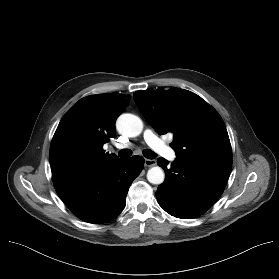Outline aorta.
Instances as JSON below:
<instances>
[{
  "mask_svg": "<svg viewBox=\"0 0 279 279\" xmlns=\"http://www.w3.org/2000/svg\"><path fill=\"white\" fill-rule=\"evenodd\" d=\"M116 127L123 135L128 137H136L143 130V122L138 116L125 113L118 117ZM147 179L152 184H162L165 179L164 171L159 166L152 167L147 172Z\"/></svg>",
  "mask_w": 279,
  "mask_h": 279,
  "instance_id": "obj_1",
  "label": "aorta"
}]
</instances>
